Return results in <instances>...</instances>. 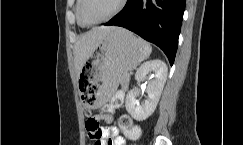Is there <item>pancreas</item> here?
<instances>
[{"label": "pancreas", "instance_id": "cf45deb5", "mask_svg": "<svg viewBox=\"0 0 243 145\" xmlns=\"http://www.w3.org/2000/svg\"><path fill=\"white\" fill-rule=\"evenodd\" d=\"M128 83H129V76L124 73L120 78V84L124 88L128 85Z\"/></svg>", "mask_w": 243, "mask_h": 145}]
</instances>
